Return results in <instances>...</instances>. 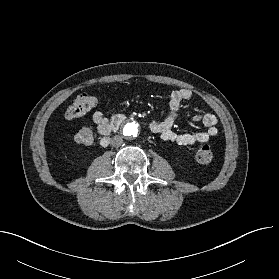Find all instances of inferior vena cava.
<instances>
[{
  "label": "inferior vena cava",
  "mask_w": 279,
  "mask_h": 279,
  "mask_svg": "<svg viewBox=\"0 0 279 279\" xmlns=\"http://www.w3.org/2000/svg\"><path fill=\"white\" fill-rule=\"evenodd\" d=\"M123 143V138L119 135L114 136L110 140V144L114 147H118Z\"/></svg>",
  "instance_id": "inferior-vena-cava-1"
}]
</instances>
